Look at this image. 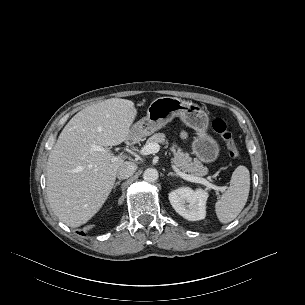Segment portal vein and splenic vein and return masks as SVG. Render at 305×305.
<instances>
[{"mask_svg":"<svg viewBox=\"0 0 305 305\" xmlns=\"http://www.w3.org/2000/svg\"><path fill=\"white\" fill-rule=\"evenodd\" d=\"M91 149L93 151H98V152L110 151L99 145H91ZM159 150H160V145L158 143H150L141 148L140 154H142V155L155 154V153L159 152ZM119 158H121V157H119ZM171 166H172V169L177 173V175H179L184 180H187L190 182H195V183H200V184L205 185L208 189H214V190H217L220 192H224L226 190L225 186H216V185L210 183L207 179L185 174L184 172L180 171V169L175 164H172Z\"/></svg>","mask_w":305,"mask_h":305,"instance_id":"18ae733b","label":"portal vein and splenic vein"}]
</instances>
